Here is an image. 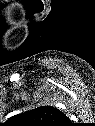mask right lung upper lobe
<instances>
[{"label":"right lung upper lobe","mask_w":95,"mask_h":126,"mask_svg":"<svg viewBox=\"0 0 95 126\" xmlns=\"http://www.w3.org/2000/svg\"><path fill=\"white\" fill-rule=\"evenodd\" d=\"M15 126H69L70 119L53 106H41L9 119Z\"/></svg>","instance_id":"obj_1"}]
</instances>
